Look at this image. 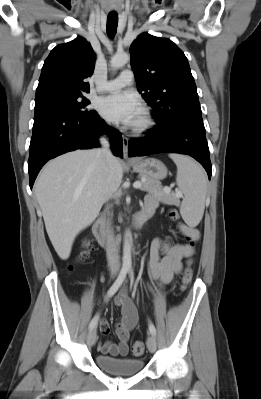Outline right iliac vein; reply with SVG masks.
Instances as JSON below:
<instances>
[{"instance_id": "1", "label": "right iliac vein", "mask_w": 261, "mask_h": 399, "mask_svg": "<svg viewBox=\"0 0 261 399\" xmlns=\"http://www.w3.org/2000/svg\"><path fill=\"white\" fill-rule=\"evenodd\" d=\"M96 342V330L92 329L89 331L87 336V344L89 347L93 346Z\"/></svg>"}]
</instances>
